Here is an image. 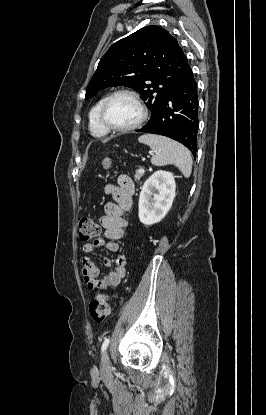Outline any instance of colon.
I'll use <instances>...</instances> for the list:
<instances>
[{"instance_id": "5ec220e1", "label": "colon", "mask_w": 266, "mask_h": 415, "mask_svg": "<svg viewBox=\"0 0 266 415\" xmlns=\"http://www.w3.org/2000/svg\"><path fill=\"white\" fill-rule=\"evenodd\" d=\"M110 160L104 161V166L109 168ZM101 232L100 226L90 218H83L79 222V239L82 242H89L96 238ZM110 312L109 299L105 294H99L91 300L89 304V313L91 318L96 322H101L107 318Z\"/></svg>"}]
</instances>
